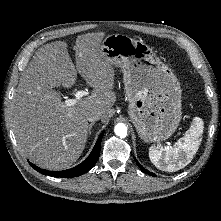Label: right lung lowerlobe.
Wrapping results in <instances>:
<instances>
[{
	"label": "right lung lower lobe",
	"mask_w": 221,
	"mask_h": 221,
	"mask_svg": "<svg viewBox=\"0 0 221 221\" xmlns=\"http://www.w3.org/2000/svg\"><path fill=\"white\" fill-rule=\"evenodd\" d=\"M103 135H104V131L100 134L90 155L81 164L77 165L74 168H71L68 170H63V171H48V170L41 169L32 163H30V165L35 170H37L38 172H40L44 175L62 177V178H71V177L80 176L95 166V164L99 158L100 149H101V140H102Z\"/></svg>",
	"instance_id": "98d812e1"
}]
</instances>
